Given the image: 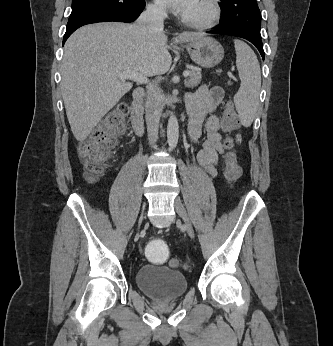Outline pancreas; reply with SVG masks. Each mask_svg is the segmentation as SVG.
Segmentation results:
<instances>
[{"label":"pancreas","mask_w":333,"mask_h":346,"mask_svg":"<svg viewBox=\"0 0 333 346\" xmlns=\"http://www.w3.org/2000/svg\"><path fill=\"white\" fill-rule=\"evenodd\" d=\"M218 72L220 73L221 71H218ZM201 79H202L201 73L199 71L192 70V71H189V78L185 81L184 84L187 88H194L200 84Z\"/></svg>","instance_id":"obj_1"}]
</instances>
